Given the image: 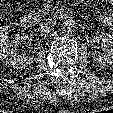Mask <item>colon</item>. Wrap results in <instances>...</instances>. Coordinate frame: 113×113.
<instances>
[{
	"label": "colon",
	"instance_id": "obj_1",
	"mask_svg": "<svg viewBox=\"0 0 113 113\" xmlns=\"http://www.w3.org/2000/svg\"><path fill=\"white\" fill-rule=\"evenodd\" d=\"M9 40L10 34L8 29L0 23V54L7 47Z\"/></svg>",
	"mask_w": 113,
	"mask_h": 113
}]
</instances>
